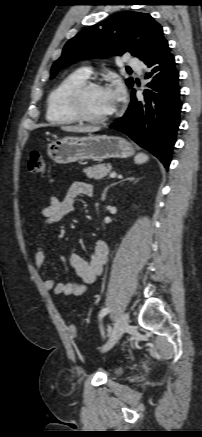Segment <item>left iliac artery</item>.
Segmentation results:
<instances>
[{
  "label": "left iliac artery",
  "instance_id": "left-iliac-artery-1",
  "mask_svg": "<svg viewBox=\"0 0 202 437\" xmlns=\"http://www.w3.org/2000/svg\"><path fill=\"white\" fill-rule=\"evenodd\" d=\"M108 312H110V309L109 308H104V309H102L101 311H100V313H99V318H100V320L108 313ZM101 332H102V335L104 336V331H103V329L101 328Z\"/></svg>",
  "mask_w": 202,
  "mask_h": 437
}]
</instances>
